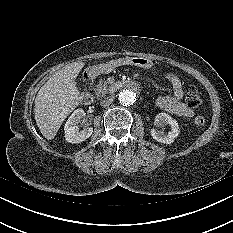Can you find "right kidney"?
I'll return each mask as SVG.
<instances>
[{"instance_id": "1", "label": "right kidney", "mask_w": 233, "mask_h": 233, "mask_svg": "<svg viewBox=\"0 0 233 233\" xmlns=\"http://www.w3.org/2000/svg\"><path fill=\"white\" fill-rule=\"evenodd\" d=\"M85 115L83 109L79 108L76 109L71 116L68 118L65 126H64V133L65 139L69 143H80L88 139L92 133L93 128H84L83 130L79 131L77 124L80 122V119Z\"/></svg>"}]
</instances>
